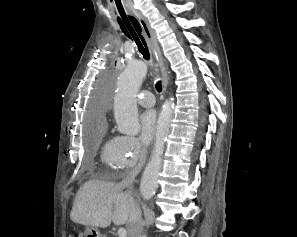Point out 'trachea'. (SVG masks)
Returning a JSON list of instances; mask_svg holds the SVG:
<instances>
[{
	"mask_svg": "<svg viewBox=\"0 0 297 237\" xmlns=\"http://www.w3.org/2000/svg\"><path fill=\"white\" fill-rule=\"evenodd\" d=\"M123 33L134 40L139 52L143 55L144 59L149 60L150 54L144 37L142 36V28L136 18L130 17L129 19H123L118 21ZM155 88L158 92L162 91L161 81H157Z\"/></svg>",
	"mask_w": 297,
	"mask_h": 237,
	"instance_id": "obj_1",
	"label": "trachea"
}]
</instances>
